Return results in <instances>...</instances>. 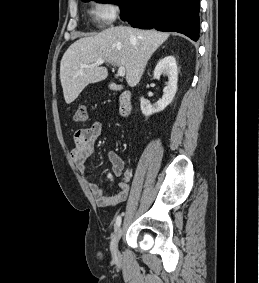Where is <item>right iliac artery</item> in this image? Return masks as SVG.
I'll return each mask as SVG.
<instances>
[{
    "label": "right iliac artery",
    "mask_w": 259,
    "mask_h": 283,
    "mask_svg": "<svg viewBox=\"0 0 259 283\" xmlns=\"http://www.w3.org/2000/svg\"><path fill=\"white\" fill-rule=\"evenodd\" d=\"M121 220H122V219H121V216H120V215L117 216V218H116V223H115L116 229L120 227V225H121Z\"/></svg>",
    "instance_id": "obj_1"
}]
</instances>
